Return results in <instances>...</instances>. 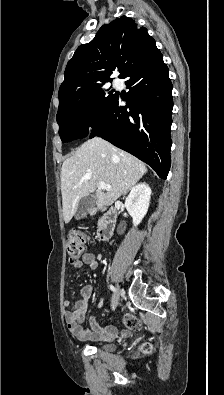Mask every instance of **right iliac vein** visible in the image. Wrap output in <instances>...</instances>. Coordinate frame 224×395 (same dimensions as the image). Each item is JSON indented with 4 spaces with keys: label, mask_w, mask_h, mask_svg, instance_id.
Returning a JSON list of instances; mask_svg holds the SVG:
<instances>
[{
    "label": "right iliac vein",
    "mask_w": 224,
    "mask_h": 395,
    "mask_svg": "<svg viewBox=\"0 0 224 395\" xmlns=\"http://www.w3.org/2000/svg\"><path fill=\"white\" fill-rule=\"evenodd\" d=\"M120 293H121V290H120L119 286H117V292L114 294V296L112 298V309L116 308V306L119 302V299H120Z\"/></svg>",
    "instance_id": "obj_1"
}]
</instances>
